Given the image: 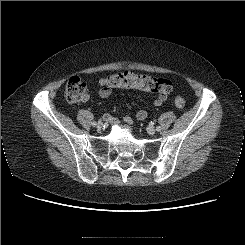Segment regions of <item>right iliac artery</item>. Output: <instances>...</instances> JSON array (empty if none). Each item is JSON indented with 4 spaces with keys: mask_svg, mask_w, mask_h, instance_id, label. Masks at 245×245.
Masks as SVG:
<instances>
[{
    "mask_svg": "<svg viewBox=\"0 0 245 245\" xmlns=\"http://www.w3.org/2000/svg\"><path fill=\"white\" fill-rule=\"evenodd\" d=\"M99 122H101V121H99ZM92 124H93V125H96V122H93Z\"/></svg>",
    "mask_w": 245,
    "mask_h": 245,
    "instance_id": "right-iliac-artery-1",
    "label": "right iliac artery"
}]
</instances>
